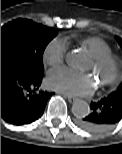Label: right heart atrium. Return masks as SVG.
<instances>
[{"label": "right heart atrium", "mask_w": 122, "mask_h": 154, "mask_svg": "<svg viewBox=\"0 0 122 154\" xmlns=\"http://www.w3.org/2000/svg\"><path fill=\"white\" fill-rule=\"evenodd\" d=\"M66 44L65 41L60 38L51 40L44 51V61L51 67H59L66 56Z\"/></svg>", "instance_id": "right-heart-atrium-1"}]
</instances>
